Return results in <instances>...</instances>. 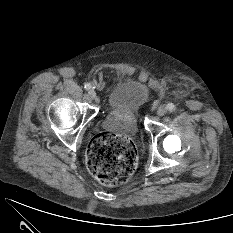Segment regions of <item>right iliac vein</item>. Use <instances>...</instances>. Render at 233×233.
I'll return each mask as SVG.
<instances>
[{
  "instance_id": "obj_1",
  "label": "right iliac vein",
  "mask_w": 233,
  "mask_h": 233,
  "mask_svg": "<svg viewBox=\"0 0 233 233\" xmlns=\"http://www.w3.org/2000/svg\"><path fill=\"white\" fill-rule=\"evenodd\" d=\"M88 95H89V97H90L91 99H94V98L96 97V92H95V90L90 89V90L88 91Z\"/></svg>"
}]
</instances>
